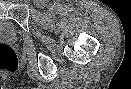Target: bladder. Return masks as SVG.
I'll use <instances>...</instances> for the list:
<instances>
[{"label": "bladder", "mask_w": 131, "mask_h": 89, "mask_svg": "<svg viewBox=\"0 0 131 89\" xmlns=\"http://www.w3.org/2000/svg\"><path fill=\"white\" fill-rule=\"evenodd\" d=\"M18 39V31L13 23L0 20V40L15 42Z\"/></svg>", "instance_id": "1"}]
</instances>
